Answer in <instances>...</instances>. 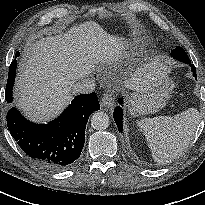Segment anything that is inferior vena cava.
Here are the masks:
<instances>
[{
    "label": "inferior vena cava",
    "mask_w": 205,
    "mask_h": 205,
    "mask_svg": "<svg viewBox=\"0 0 205 205\" xmlns=\"http://www.w3.org/2000/svg\"><path fill=\"white\" fill-rule=\"evenodd\" d=\"M95 86H96L95 80L87 77L78 81L73 86V90L76 93H91L94 91Z\"/></svg>",
    "instance_id": "1"
}]
</instances>
